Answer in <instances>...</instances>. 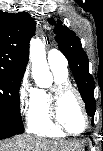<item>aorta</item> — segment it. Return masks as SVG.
<instances>
[{"mask_svg": "<svg viewBox=\"0 0 103 151\" xmlns=\"http://www.w3.org/2000/svg\"><path fill=\"white\" fill-rule=\"evenodd\" d=\"M29 58L32 64V74L35 81H40L42 77H50L45 46L38 37L32 39L30 42Z\"/></svg>", "mask_w": 103, "mask_h": 151, "instance_id": "762f6f07", "label": "aorta"}]
</instances>
